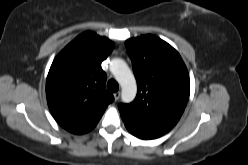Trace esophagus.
Instances as JSON below:
<instances>
[{"label": "esophagus", "instance_id": "1", "mask_svg": "<svg viewBox=\"0 0 248 165\" xmlns=\"http://www.w3.org/2000/svg\"><path fill=\"white\" fill-rule=\"evenodd\" d=\"M120 95H121L120 91L114 93V98H115L116 101L120 98Z\"/></svg>", "mask_w": 248, "mask_h": 165}]
</instances>
